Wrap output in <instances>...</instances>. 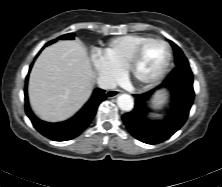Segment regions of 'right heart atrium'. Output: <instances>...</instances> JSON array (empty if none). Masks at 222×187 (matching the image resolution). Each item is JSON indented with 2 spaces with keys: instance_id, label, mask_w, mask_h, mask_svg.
<instances>
[{
  "instance_id": "right-heart-atrium-1",
  "label": "right heart atrium",
  "mask_w": 222,
  "mask_h": 187,
  "mask_svg": "<svg viewBox=\"0 0 222 187\" xmlns=\"http://www.w3.org/2000/svg\"><path fill=\"white\" fill-rule=\"evenodd\" d=\"M91 58L96 73L103 84H112L120 77L121 71L101 54H93Z\"/></svg>"
}]
</instances>
